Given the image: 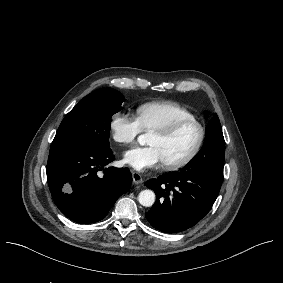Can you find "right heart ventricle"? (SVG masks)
<instances>
[{"instance_id":"obj_1","label":"right heart ventricle","mask_w":283,"mask_h":283,"mask_svg":"<svg viewBox=\"0 0 283 283\" xmlns=\"http://www.w3.org/2000/svg\"><path fill=\"white\" fill-rule=\"evenodd\" d=\"M135 112L142 130L149 132L164 130L179 118L193 117L191 112L169 101L146 102L138 105Z\"/></svg>"}]
</instances>
